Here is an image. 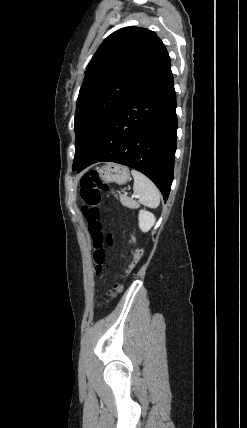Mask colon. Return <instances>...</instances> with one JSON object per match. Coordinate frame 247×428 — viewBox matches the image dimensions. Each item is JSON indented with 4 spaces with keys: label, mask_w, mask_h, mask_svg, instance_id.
<instances>
[{
    "label": "colon",
    "mask_w": 247,
    "mask_h": 428,
    "mask_svg": "<svg viewBox=\"0 0 247 428\" xmlns=\"http://www.w3.org/2000/svg\"><path fill=\"white\" fill-rule=\"evenodd\" d=\"M111 192L110 186L103 182L96 172L85 174L80 181V196L85 204L84 214L88 221L89 232L93 243V261L95 264L96 274H100L106 262V247L113 248L116 240L112 232L107 233L104 237L100 230L99 208L102 194ZM106 246V247H105ZM142 256V250L134 249L130 262V270L135 268ZM123 290L122 283H116L112 290L108 291V297H114Z\"/></svg>",
    "instance_id": "5ec220e1"
}]
</instances>
